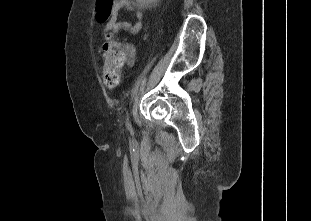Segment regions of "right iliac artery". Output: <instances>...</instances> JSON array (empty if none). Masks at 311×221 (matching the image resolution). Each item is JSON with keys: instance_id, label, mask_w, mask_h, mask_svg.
Returning a JSON list of instances; mask_svg holds the SVG:
<instances>
[{"instance_id": "1", "label": "right iliac artery", "mask_w": 311, "mask_h": 221, "mask_svg": "<svg viewBox=\"0 0 311 221\" xmlns=\"http://www.w3.org/2000/svg\"><path fill=\"white\" fill-rule=\"evenodd\" d=\"M126 126H127V129H128L129 131H132V126H131V124L129 123L128 118H127Z\"/></svg>"}]
</instances>
